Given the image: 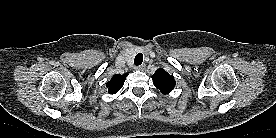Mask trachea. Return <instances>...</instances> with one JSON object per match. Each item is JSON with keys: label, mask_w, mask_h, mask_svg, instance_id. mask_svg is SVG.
I'll list each match as a JSON object with an SVG mask.
<instances>
[{"label": "trachea", "mask_w": 276, "mask_h": 138, "mask_svg": "<svg viewBox=\"0 0 276 138\" xmlns=\"http://www.w3.org/2000/svg\"><path fill=\"white\" fill-rule=\"evenodd\" d=\"M143 62V55L141 53H138L136 56H135V59H134V64L136 66H139L141 65Z\"/></svg>", "instance_id": "1"}]
</instances>
